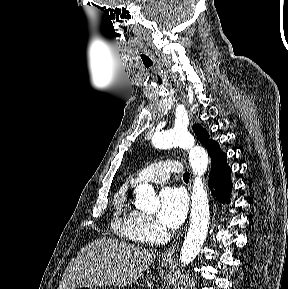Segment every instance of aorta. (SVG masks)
I'll use <instances>...</instances> for the list:
<instances>
[{
    "label": "aorta",
    "mask_w": 288,
    "mask_h": 289,
    "mask_svg": "<svg viewBox=\"0 0 288 289\" xmlns=\"http://www.w3.org/2000/svg\"><path fill=\"white\" fill-rule=\"evenodd\" d=\"M152 142L157 148L181 147L189 149V162L195 179L191 196L190 225L180 252L181 263L186 266L199 254L208 232L210 209L202 181V176L208 165V155L204 148L194 145V141L184 128H174L157 133L153 136ZM135 193V205L138 209L147 212L159 210V200L150 184H140L136 187Z\"/></svg>",
    "instance_id": "aorta-1"
}]
</instances>
